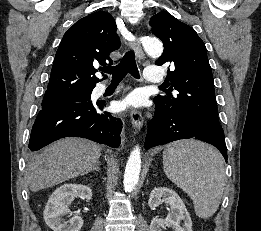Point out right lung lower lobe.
Segmentation results:
<instances>
[{
    "label": "right lung lower lobe",
    "mask_w": 261,
    "mask_h": 231,
    "mask_svg": "<svg viewBox=\"0 0 261 231\" xmlns=\"http://www.w3.org/2000/svg\"><path fill=\"white\" fill-rule=\"evenodd\" d=\"M105 102H72L42 109L35 120L29 140L31 151L63 137H83L110 147L120 145L121 119L100 112Z\"/></svg>",
    "instance_id": "obj_1"
}]
</instances>
